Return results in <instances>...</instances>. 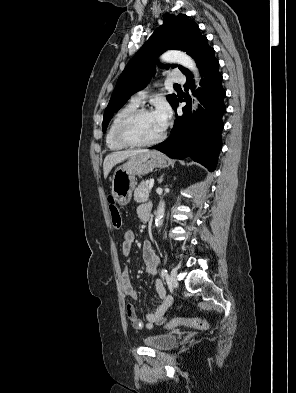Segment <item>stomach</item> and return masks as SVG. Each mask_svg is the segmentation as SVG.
Returning <instances> with one entry per match:
<instances>
[{
  "label": "stomach",
  "mask_w": 296,
  "mask_h": 393,
  "mask_svg": "<svg viewBox=\"0 0 296 393\" xmlns=\"http://www.w3.org/2000/svg\"><path fill=\"white\" fill-rule=\"evenodd\" d=\"M167 163V157L157 151H149L130 157L113 173L111 188L115 201L121 206L127 205L136 186V176H143L155 168L166 167Z\"/></svg>",
  "instance_id": "obj_1"
}]
</instances>
